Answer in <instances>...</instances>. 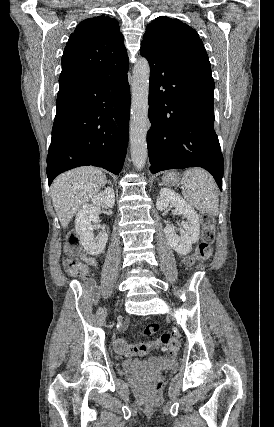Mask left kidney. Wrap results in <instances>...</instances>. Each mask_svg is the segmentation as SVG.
Returning a JSON list of instances; mask_svg holds the SVG:
<instances>
[{
  "instance_id": "left-kidney-1",
  "label": "left kidney",
  "mask_w": 274,
  "mask_h": 427,
  "mask_svg": "<svg viewBox=\"0 0 274 427\" xmlns=\"http://www.w3.org/2000/svg\"><path fill=\"white\" fill-rule=\"evenodd\" d=\"M171 206L175 208V214L183 215V217H186V221H182L181 223V235H177L173 225H166L164 233L172 249H175L180 255H187L192 249V243H195L199 239V217L194 208L190 204H187V202H184L179 194H176L173 190H168V188H162L156 202V208L160 212H164V210H169Z\"/></svg>"
}]
</instances>
